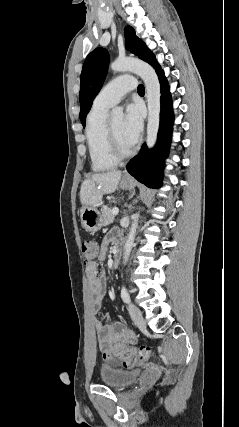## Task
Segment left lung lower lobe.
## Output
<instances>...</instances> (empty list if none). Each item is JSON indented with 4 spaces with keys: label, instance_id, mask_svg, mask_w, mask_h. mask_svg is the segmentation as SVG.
Instances as JSON below:
<instances>
[{
    "label": "left lung lower lobe",
    "instance_id": "0a47b994",
    "mask_svg": "<svg viewBox=\"0 0 239 427\" xmlns=\"http://www.w3.org/2000/svg\"><path fill=\"white\" fill-rule=\"evenodd\" d=\"M155 70L161 83V118L158 143L151 150L147 148L146 144H143L140 153L127 165L128 172L136 180L150 188H159L161 186L164 159L168 156L174 121L167 80L160 65L156 66Z\"/></svg>",
    "mask_w": 239,
    "mask_h": 427
}]
</instances>
